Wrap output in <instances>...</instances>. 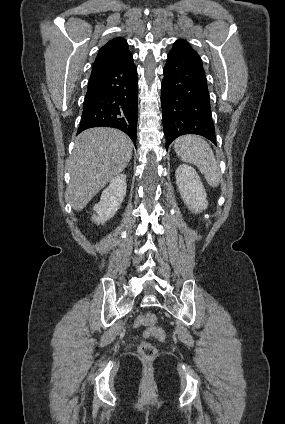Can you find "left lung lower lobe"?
I'll list each match as a JSON object with an SVG mask.
<instances>
[{
  "label": "left lung lower lobe",
  "instance_id": "0a47b994",
  "mask_svg": "<svg viewBox=\"0 0 285 424\" xmlns=\"http://www.w3.org/2000/svg\"><path fill=\"white\" fill-rule=\"evenodd\" d=\"M163 73L161 104L166 149L184 134L201 135L216 143L202 60L187 41L174 43Z\"/></svg>",
  "mask_w": 285,
  "mask_h": 424
}]
</instances>
